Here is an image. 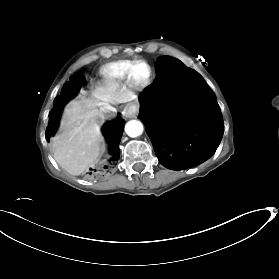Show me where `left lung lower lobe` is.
I'll return each instance as SVG.
<instances>
[{
  "label": "left lung lower lobe",
  "instance_id": "1",
  "mask_svg": "<svg viewBox=\"0 0 279 279\" xmlns=\"http://www.w3.org/2000/svg\"><path fill=\"white\" fill-rule=\"evenodd\" d=\"M157 76L139 95L141 120L159 162L183 170L209 159L223 135V120L212 90L195 71L165 57Z\"/></svg>",
  "mask_w": 279,
  "mask_h": 279
}]
</instances>
